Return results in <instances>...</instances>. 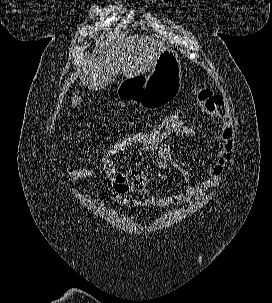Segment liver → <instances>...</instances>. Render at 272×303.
Listing matches in <instances>:
<instances>
[{
	"instance_id": "6515ba94",
	"label": "liver",
	"mask_w": 272,
	"mask_h": 303,
	"mask_svg": "<svg viewBox=\"0 0 272 303\" xmlns=\"http://www.w3.org/2000/svg\"><path fill=\"white\" fill-rule=\"evenodd\" d=\"M167 48L161 38L103 32L81 68L80 84L98 90L112 83L120 71L126 79L142 75L153 68ZM80 101V97L74 96L71 106H77Z\"/></svg>"
}]
</instances>
